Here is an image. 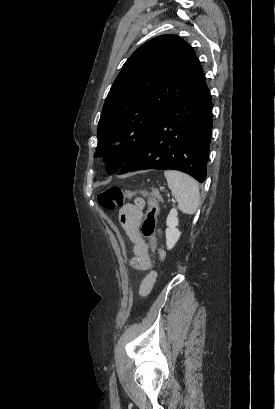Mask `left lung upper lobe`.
<instances>
[{"mask_svg": "<svg viewBox=\"0 0 275 409\" xmlns=\"http://www.w3.org/2000/svg\"><path fill=\"white\" fill-rule=\"evenodd\" d=\"M203 80L199 59L180 37L161 35L139 47L113 83L98 124L97 150L123 141L104 157L109 172L119 170L162 115Z\"/></svg>", "mask_w": 275, "mask_h": 409, "instance_id": "5c2ea615", "label": "left lung upper lobe"}]
</instances>
